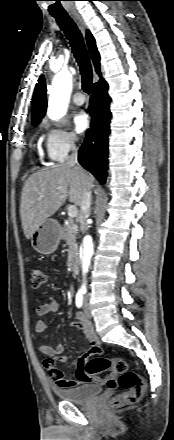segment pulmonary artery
<instances>
[{
	"instance_id": "e3ab8cb5",
	"label": "pulmonary artery",
	"mask_w": 174,
	"mask_h": 440,
	"mask_svg": "<svg viewBox=\"0 0 174 440\" xmlns=\"http://www.w3.org/2000/svg\"><path fill=\"white\" fill-rule=\"evenodd\" d=\"M72 101L76 105H83L85 103V97L82 93L77 92L73 95Z\"/></svg>"
}]
</instances>
